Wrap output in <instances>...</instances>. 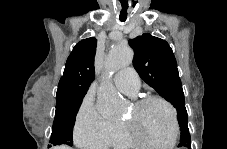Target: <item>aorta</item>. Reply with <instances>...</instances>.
I'll return each mask as SVG.
<instances>
[{
  "label": "aorta",
  "mask_w": 227,
  "mask_h": 149,
  "mask_svg": "<svg viewBox=\"0 0 227 149\" xmlns=\"http://www.w3.org/2000/svg\"><path fill=\"white\" fill-rule=\"evenodd\" d=\"M133 52L125 45L116 43L110 49L103 74V81L97 92V109L105 117L121 114L122 99L111 82L112 76L120 69L132 63Z\"/></svg>",
  "instance_id": "aorta-1"
}]
</instances>
